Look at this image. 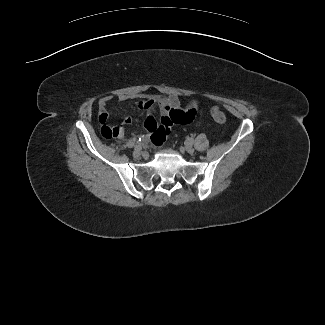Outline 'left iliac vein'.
<instances>
[{
    "label": "left iliac vein",
    "mask_w": 325,
    "mask_h": 325,
    "mask_svg": "<svg viewBox=\"0 0 325 325\" xmlns=\"http://www.w3.org/2000/svg\"><path fill=\"white\" fill-rule=\"evenodd\" d=\"M185 150H186L189 154L194 153V148L192 147L191 144H186V145H185Z\"/></svg>",
    "instance_id": "4c4485c4"
}]
</instances>
